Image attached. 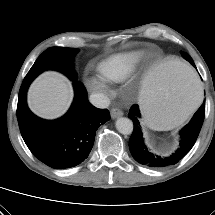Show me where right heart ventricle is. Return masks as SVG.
Instances as JSON below:
<instances>
[{
    "label": "right heart ventricle",
    "mask_w": 215,
    "mask_h": 215,
    "mask_svg": "<svg viewBox=\"0 0 215 215\" xmlns=\"http://www.w3.org/2000/svg\"><path fill=\"white\" fill-rule=\"evenodd\" d=\"M141 59L139 51L118 53L101 61L98 72L105 81L121 82L134 72Z\"/></svg>",
    "instance_id": "1"
}]
</instances>
